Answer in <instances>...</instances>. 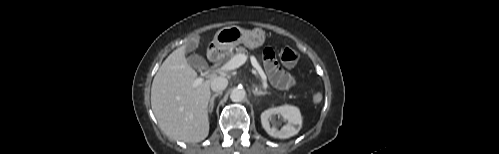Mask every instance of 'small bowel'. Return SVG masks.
<instances>
[{"mask_svg": "<svg viewBox=\"0 0 499 154\" xmlns=\"http://www.w3.org/2000/svg\"><path fill=\"white\" fill-rule=\"evenodd\" d=\"M264 64L271 83L279 89H289L296 85L292 75L284 71L276 62L274 52L267 48L264 51Z\"/></svg>", "mask_w": 499, "mask_h": 154, "instance_id": "obj_1", "label": "small bowel"}]
</instances>
